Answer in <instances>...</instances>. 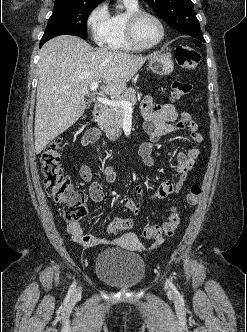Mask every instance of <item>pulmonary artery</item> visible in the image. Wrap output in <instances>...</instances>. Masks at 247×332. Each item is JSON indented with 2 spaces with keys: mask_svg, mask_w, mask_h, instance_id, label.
I'll return each instance as SVG.
<instances>
[{
  "mask_svg": "<svg viewBox=\"0 0 247 332\" xmlns=\"http://www.w3.org/2000/svg\"><path fill=\"white\" fill-rule=\"evenodd\" d=\"M130 1H132V2H138V0H130Z\"/></svg>",
  "mask_w": 247,
  "mask_h": 332,
  "instance_id": "e3ab8cb5",
  "label": "pulmonary artery"
}]
</instances>
